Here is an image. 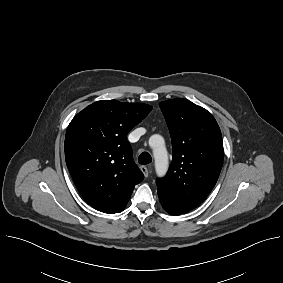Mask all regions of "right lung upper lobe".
I'll return each instance as SVG.
<instances>
[{
    "instance_id": "right-lung-upper-lobe-1",
    "label": "right lung upper lobe",
    "mask_w": 283,
    "mask_h": 283,
    "mask_svg": "<svg viewBox=\"0 0 283 283\" xmlns=\"http://www.w3.org/2000/svg\"><path fill=\"white\" fill-rule=\"evenodd\" d=\"M152 110L142 103L97 101L70 122L65 160L84 200L104 213L124 210L143 174L134 164L128 132Z\"/></svg>"
}]
</instances>
